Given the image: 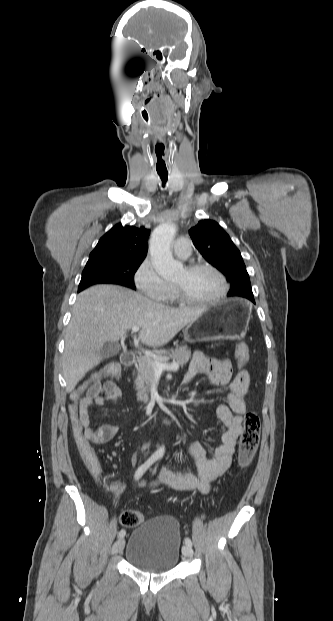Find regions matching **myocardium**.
Segmentation results:
<instances>
[{
	"label": "myocardium",
	"instance_id": "myocardium-1",
	"mask_svg": "<svg viewBox=\"0 0 333 621\" xmlns=\"http://www.w3.org/2000/svg\"><path fill=\"white\" fill-rule=\"evenodd\" d=\"M185 270L187 272H196L199 270H209L212 271L214 274H216L218 276V278L220 279L221 283H222V289L219 292V294L211 299H206V300H197V299H193L190 296H188L184 290L182 288H180L177 285H172L174 294L177 298L178 301L188 304V305H194V306H205V305H212V304H216L218 302H220L221 300H223L229 291V283L225 277V275L223 274V272L221 270H219L216 266L210 264V263H206V262H198V263H193L190 264L188 266L185 267Z\"/></svg>",
	"mask_w": 333,
	"mask_h": 621
}]
</instances>
